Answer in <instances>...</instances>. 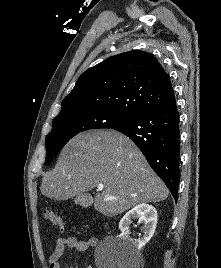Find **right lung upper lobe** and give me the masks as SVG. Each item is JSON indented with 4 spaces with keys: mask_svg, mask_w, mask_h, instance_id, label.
Returning <instances> with one entry per match:
<instances>
[{
    "mask_svg": "<svg viewBox=\"0 0 221 268\" xmlns=\"http://www.w3.org/2000/svg\"><path fill=\"white\" fill-rule=\"evenodd\" d=\"M173 102L174 91L161 64L149 53L134 50L86 70L62 101L59 114L106 109L132 119Z\"/></svg>",
    "mask_w": 221,
    "mask_h": 268,
    "instance_id": "cb5924a9",
    "label": "right lung upper lobe"
}]
</instances>
